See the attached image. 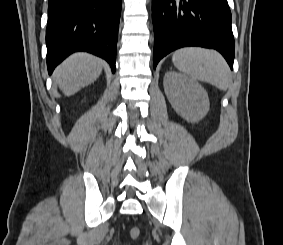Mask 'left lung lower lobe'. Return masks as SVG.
Returning <instances> with one entry per match:
<instances>
[{
  "mask_svg": "<svg viewBox=\"0 0 283 245\" xmlns=\"http://www.w3.org/2000/svg\"><path fill=\"white\" fill-rule=\"evenodd\" d=\"M153 67L161 58L185 46L218 50L231 69L234 37L227 0H152Z\"/></svg>",
  "mask_w": 283,
  "mask_h": 245,
  "instance_id": "0a47b994",
  "label": "left lung lower lobe"
}]
</instances>
